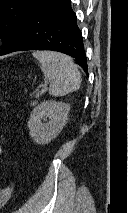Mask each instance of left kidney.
Listing matches in <instances>:
<instances>
[{
  "label": "left kidney",
  "instance_id": "1",
  "mask_svg": "<svg viewBox=\"0 0 128 213\" xmlns=\"http://www.w3.org/2000/svg\"><path fill=\"white\" fill-rule=\"evenodd\" d=\"M70 105L46 100L33 109L28 121L31 138L40 145L48 144L58 136L68 120ZM48 118L47 123H42Z\"/></svg>",
  "mask_w": 128,
  "mask_h": 213
}]
</instances>
